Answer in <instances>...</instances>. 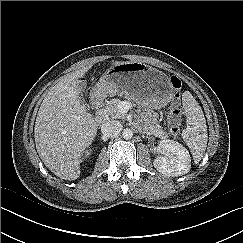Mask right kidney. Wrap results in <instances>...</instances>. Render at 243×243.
Wrapping results in <instances>:
<instances>
[{"label":"right kidney","instance_id":"obj_1","mask_svg":"<svg viewBox=\"0 0 243 243\" xmlns=\"http://www.w3.org/2000/svg\"><path fill=\"white\" fill-rule=\"evenodd\" d=\"M90 154V152L86 151V156H88Z\"/></svg>","mask_w":243,"mask_h":243}]
</instances>
